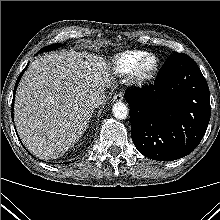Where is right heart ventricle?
Masks as SVG:
<instances>
[{"label": "right heart ventricle", "instance_id": "obj_1", "mask_svg": "<svg viewBox=\"0 0 220 220\" xmlns=\"http://www.w3.org/2000/svg\"><path fill=\"white\" fill-rule=\"evenodd\" d=\"M146 54L147 52L141 50L124 51L112 59V69L117 74H127L131 72L136 63Z\"/></svg>", "mask_w": 220, "mask_h": 220}]
</instances>
